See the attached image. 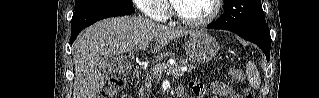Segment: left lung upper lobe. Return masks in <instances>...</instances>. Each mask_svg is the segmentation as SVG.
<instances>
[{
	"label": "left lung upper lobe",
	"mask_w": 319,
	"mask_h": 98,
	"mask_svg": "<svg viewBox=\"0 0 319 98\" xmlns=\"http://www.w3.org/2000/svg\"><path fill=\"white\" fill-rule=\"evenodd\" d=\"M218 29L269 31L261 0H224V13L210 23Z\"/></svg>",
	"instance_id": "1"
}]
</instances>
